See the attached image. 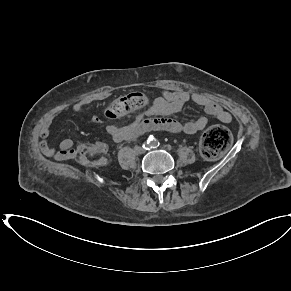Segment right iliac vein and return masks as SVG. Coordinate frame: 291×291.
<instances>
[{
  "mask_svg": "<svg viewBox=\"0 0 291 291\" xmlns=\"http://www.w3.org/2000/svg\"><path fill=\"white\" fill-rule=\"evenodd\" d=\"M135 151L138 154H142L143 153V150L141 148H136Z\"/></svg>",
  "mask_w": 291,
  "mask_h": 291,
  "instance_id": "1",
  "label": "right iliac vein"
}]
</instances>
